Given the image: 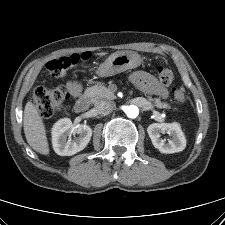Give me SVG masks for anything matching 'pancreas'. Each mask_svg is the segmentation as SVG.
Returning <instances> with one entry per match:
<instances>
[{
	"label": "pancreas",
	"mask_w": 225,
	"mask_h": 225,
	"mask_svg": "<svg viewBox=\"0 0 225 225\" xmlns=\"http://www.w3.org/2000/svg\"><path fill=\"white\" fill-rule=\"evenodd\" d=\"M86 95L92 98L93 100L98 99H114V93L107 87L102 85H95L86 89ZM149 102H153V104L160 109H170V105L166 102H161L159 98L148 97Z\"/></svg>",
	"instance_id": "pancreas-1"
}]
</instances>
